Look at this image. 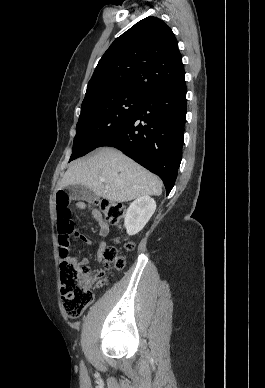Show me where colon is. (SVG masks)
<instances>
[{
    "label": "colon",
    "mask_w": 265,
    "mask_h": 388,
    "mask_svg": "<svg viewBox=\"0 0 265 388\" xmlns=\"http://www.w3.org/2000/svg\"><path fill=\"white\" fill-rule=\"evenodd\" d=\"M96 205L102 211L105 220L113 225H118L126 211L121 203L106 199L97 200ZM70 202L67 193L59 191L56 195L58 244L60 262V279L62 305L70 317L76 318L93 300L94 286L101 287L106 283L104 271L92 276L89 269L73 262L69 257L70 236L74 231V223L71 219ZM128 242L126 247L132 248ZM104 265L106 269H121L125 264L123 256L119 255L114 246H108L104 250Z\"/></svg>",
    "instance_id": "5ec220e1"
}]
</instances>
